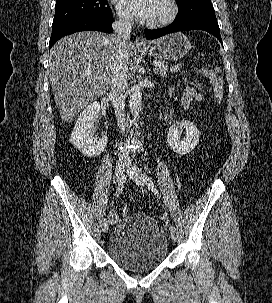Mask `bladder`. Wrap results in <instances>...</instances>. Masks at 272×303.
I'll use <instances>...</instances> for the list:
<instances>
[{
    "instance_id": "1",
    "label": "bladder",
    "mask_w": 272,
    "mask_h": 303,
    "mask_svg": "<svg viewBox=\"0 0 272 303\" xmlns=\"http://www.w3.org/2000/svg\"><path fill=\"white\" fill-rule=\"evenodd\" d=\"M168 243L162 226L144 214H128L114 227L107 254L125 269L140 272L158 267L167 257Z\"/></svg>"
}]
</instances>
